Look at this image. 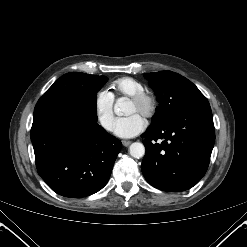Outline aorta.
I'll list each match as a JSON object with an SVG mask.
<instances>
[{
  "instance_id": "obj_1",
  "label": "aorta",
  "mask_w": 247,
  "mask_h": 247,
  "mask_svg": "<svg viewBox=\"0 0 247 247\" xmlns=\"http://www.w3.org/2000/svg\"><path fill=\"white\" fill-rule=\"evenodd\" d=\"M127 102L123 99L120 98L117 100L115 106H114V111L116 114H121L122 107L126 104ZM129 152L130 155L133 158H142L145 155V147L142 143L140 142H134L130 145L129 147Z\"/></svg>"
}]
</instances>
